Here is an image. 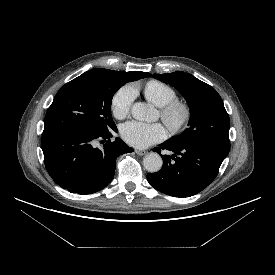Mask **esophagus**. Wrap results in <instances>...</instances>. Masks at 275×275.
<instances>
[{"label":"esophagus","instance_id":"obj_1","mask_svg":"<svg viewBox=\"0 0 275 275\" xmlns=\"http://www.w3.org/2000/svg\"><path fill=\"white\" fill-rule=\"evenodd\" d=\"M135 153L139 156H143L145 155L147 152L146 151H143V150H135Z\"/></svg>","mask_w":275,"mask_h":275}]
</instances>
